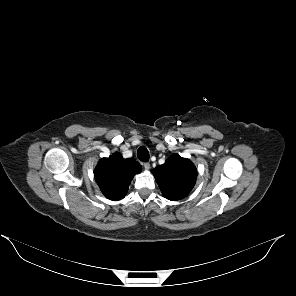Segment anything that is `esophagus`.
Returning a JSON list of instances; mask_svg holds the SVG:
<instances>
[{"mask_svg":"<svg viewBox=\"0 0 296 296\" xmlns=\"http://www.w3.org/2000/svg\"><path fill=\"white\" fill-rule=\"evenodd\" d=\"M144 168H145V170H149L150 169V164L149 163H144Z\"/></svg>","mask_w":296,"mask_h":296,"instance_id":"34e87169","label":"esophagus"}]
</instances>
